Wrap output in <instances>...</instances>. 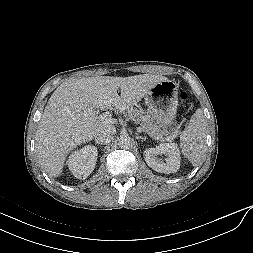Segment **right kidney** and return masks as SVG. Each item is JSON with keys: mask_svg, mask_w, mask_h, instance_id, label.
Returning <instances> with one entry per match:
<instances>
[{"mask_svg": "<svg viewBox=\"0 0 253 253\" xmlns=\"http://www.w3.org/2000/svg\"><path fill=\"white\" fill-rule=\"evenodd\" d=\"M97 156V148L86 145L69 156L67 160L68 168L76 178L86 179L95 168Z\"/></svg>", "mask_w": 253, "mask_h": 253, "instance_id": "ca27d5eb", "label": "right kidney"}]
</instances>
